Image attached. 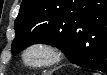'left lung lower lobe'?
<instances>
[{"label":"left lung lower lobe","instance_id":"left-lung-lower-lobe-1","mask_svg":"<svg viewBox=\"0 0 107 75\" xmlns=\"http://www.w3.org/2000/svg\"><path fill=\"white\" fill-rule=\"evenodd\" d=\"M97 3L95 11L85 16L78 31V42L86 46L84 52L65 54L74 64L107 73V0H89Z\"/></svg>","mask_w":107,"mask_h":75}]
</instances>
